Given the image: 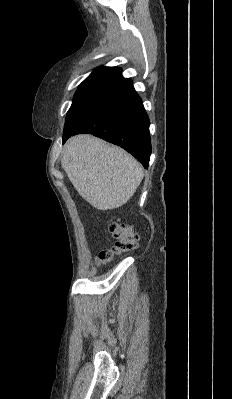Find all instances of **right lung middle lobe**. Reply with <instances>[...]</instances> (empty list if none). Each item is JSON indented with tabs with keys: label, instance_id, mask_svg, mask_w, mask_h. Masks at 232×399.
<instances>
[{
	"label": "right lung middle lobe",
	"instance_id": "right-lung-middle-lobe-1",
	"mask_svg": "<svg viewBox=\"0 0 232 399\" xmlns=\"http://www.w3.org/2000/svg\"><path fill=\"white\" fill-rule=\"evenodd\" d=\"M95 85H97L94 82H90V81H83L81 83V85L79 86L74 98L78 97L79 95H81L83 92H85L86 90L94 87Z\"/></svg>",
	"mask_w": 232,
	"mask_h": 399
}]
</instances>
